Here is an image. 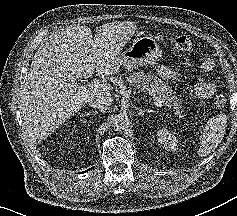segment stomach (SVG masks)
Instances as JSON below:
<instances>
[{
	"label": "stomach",
	"instance_id": "1",
	"mask_svg": "<svg viewBox=\"0 0 237 216\" xmlns=\"http://www.w3.org/2000/svg\"><path fill=\"white\" fill-rule=\"evenodd\" d=\"M120 58L127 69H133L156 64L162 59V50L155 39L143 36L135 39L133 44L121 53Z\"/></svg>",
	"mask_w": 237,
	"mask_h": 216
}]
</instances>
